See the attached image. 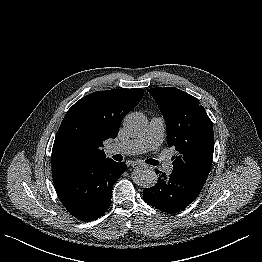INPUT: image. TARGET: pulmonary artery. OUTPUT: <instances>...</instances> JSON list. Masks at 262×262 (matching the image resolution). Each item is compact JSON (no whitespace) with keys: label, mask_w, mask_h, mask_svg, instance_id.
I'll use <instances>...</instances> for the list:
<instances>
[{"label":"pulmonary artery","mask_w":262,"mask_h":262,"mask_svg":"<svg viewBox=\"0 0 262 262\" xmlns=\"http://www.w3.org/2000/svg\"><path fill=\"white\" fill-rule=\"evenodd\" d=\"M165 122L161 117H153L150 120L147 133L137 139H131L127 141L117 142L112 145V152L122 154H139L146 151H152L157 149L164 136ZM162 170L166 174H171L172 165L169 161L162 163Z\"/></svg>","instance_id":"pulmonary-artery-1"}]
</instances>
